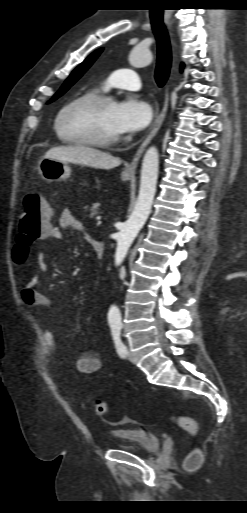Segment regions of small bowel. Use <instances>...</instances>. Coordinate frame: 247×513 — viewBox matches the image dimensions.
Segmentation results:
<instances>
[{"label": "small bowel", "instance_id": "obj_1", "mask_svg": "<svg viewBox=\"0 0 247 513\" xmlns=\"http://www.w3.org/2000/svg\"><path fill=\"white\" fill-rule=\"evenodd\" d=\"M62 229L76 230L85 232L86 227L82 221L77 219L70 209H63L59 215L58 226L51 227L49 233L44 236V240H61L63 238ZM37 262L40 272L46 271V265L43 260L42 253L37 256ZM41 280L39 276L30 277L22 291L21 299L22 302L30 307L40 310H46L50 306V299L38 290ZM43 337L45 342V357L56 356L58 348L56 345V338L52 330L44 328ZM102 359L100 356L91 350L81 352L74 362L75 368L86 374H92L98 372L102 368Z\"/></svg>", "mask_w": 247, "mask_h": 513}]
</instances>
